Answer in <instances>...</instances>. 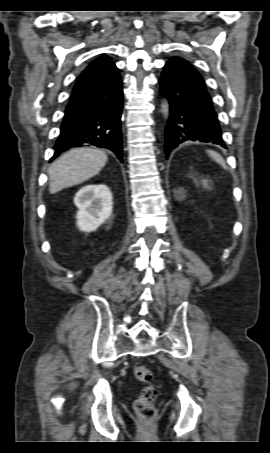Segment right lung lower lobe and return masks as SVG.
<instances>
[{
	"instance_id": "1",
	"label": "right lung lower lobe",
	"mask_w": 270,
	"mask_h": 453,
	"mask_svg": "<svg viewBox=\"0 0 270 453\" xmlns=\"http://www.w3.org/2000/svg\"><path fill=\"white\" fill-rule=\"evenodd\" d=\"M122 106V83L116 67L102 79L74 88L50 162L63 151L86 145L110 149L122 161Z\"/></svg>"
}]
</instances>
